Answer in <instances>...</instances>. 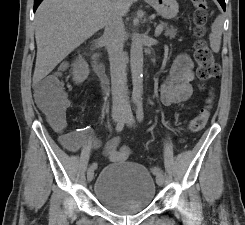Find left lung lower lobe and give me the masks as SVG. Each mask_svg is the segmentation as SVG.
Wrapping results in <instances>:
<instances>
[{"label": "left lung lower lobe", "mask_w": 245, "mask_h": 225, "mask_svg": "<svg viewBox=\"0 0 245 225\" xmlns=\"http://www.w3.org/2000/svg\"><path fill=\"white\" fill-rule=\"evenodd\" d=\"M225 11V0H217Z\"/></svg>", "instance_id": "0a47b994"}]
</instances>
